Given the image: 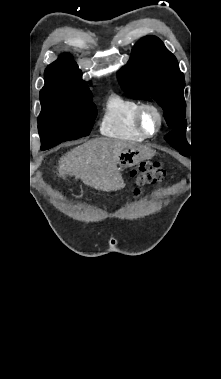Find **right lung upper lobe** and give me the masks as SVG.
I'll use <instances>...</instances> for the list:
<instances>
[{"instance_id":"cb5924a9","label":"right lung upper lobe","mask_w":221,"mask_h":379,"mask_svg":"<svg viewBox=\"0 0 221 379\" xmlns=\"http://www.w3.org/2000/svg\"><path fill=\"white\" fill-rule=\"evenodd\" d=\"M88 92L81 70L69 54H63L45 70V86L40 99L51 97H79Z\"/></svg>"}]
</instances>
